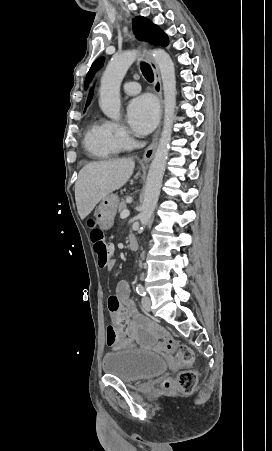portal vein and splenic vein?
Here are the masks:
<instances>
[{"instance_id":"obj_1","label":"portal vein and splenic vein","mask_w":272,"mask_h":451,"mask_svg":"<svg viewBox=\"0 0 272 451\" xmlns=\"http://www.w3.org/2000/svg\"><path fill=\"white\" fill-rule=\"evenodd\" d=\"M128 216H130L129 210H123V212H121L120 214L121 220H124V218H128Z\"/></svg>"}]
</instances>
